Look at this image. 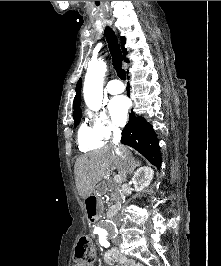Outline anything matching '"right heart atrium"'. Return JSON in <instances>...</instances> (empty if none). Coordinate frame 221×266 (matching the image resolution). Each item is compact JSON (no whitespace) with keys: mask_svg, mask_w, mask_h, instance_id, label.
Returning a JSON list of instances; mask_svg holds the SVG:
<instances>
[{"mask_svg":"<svg viewBox=\"0 0 221 266\" xmlns=\"http://www.w3.org/2000/svg\"><path fill=\"white\" fill-rule=\"evenodd\" d=\"M90 118L94 131L103 141L110 140L121 133L120 128L104 112L92 113Z\"/></svg>","mask_w":221,"mask_h":266,"instance_id":"1","label":"right heart atrium"}]
</instances>
